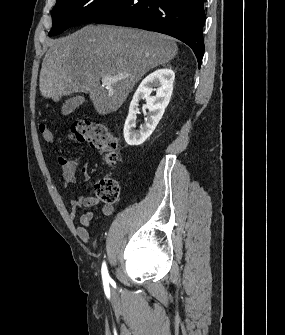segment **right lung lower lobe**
Instances as JSON below:
<instances>
[{
  "label": "right lung lower lobe",
  "instance_id": "right-lung-lower-lobe-1",
  "mask_svg": "<svg viewBox=\"0 0 285 335\" xmlns=\"http://www.w3.org/2000/svg\"><path fill=\"white\" fill-rule=\"evenodd\" d=\"M205 0H120L93 22L137 27L175 37L195 53L204 54Z\"/></svg>",
  "mask_w": 285,
  "mask_h": 335
}]
</instances>
